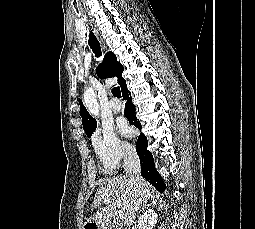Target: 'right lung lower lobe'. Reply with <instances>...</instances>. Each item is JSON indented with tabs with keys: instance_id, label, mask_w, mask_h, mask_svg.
<instances>
[{
	"instance_id": "obj_1",
	"label": "right lung lower lobe",
	"mask_w": 255,
	"mask_h": 229,
	"mask_svg": "<svg viewBox=\"0 0 255 229\" xmlns=\"http://www.w3.org/2000/svg\"><path fill=\"white\" fill-rule=\"evenodd\" d=\"M122 95L125 100V116L129 122L141 129L139 121L135 117V106L132 103V97L127 86L122 89ZM136 150L141 162V175L152 184L159 192L163 193L166 190V185L163 182L162 177L155 169V164L152 154L147 150V138L143 133L137 138Z\"/></svg>"
}]
</instances>
